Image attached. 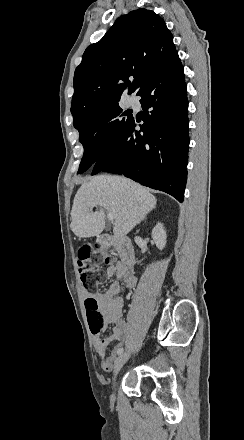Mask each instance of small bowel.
Instances as JSON below:
<instances>
[{
    "label": "small bowel",
    "mask_w": 244,
    "mask_h": 440,
    "mask_svg": "<svg viewBox=\"0 0 244 440\" xmlns=\"http://www.w3.org/2000/svg\"><path fill=\"white\" fill-rule=\"evenodd\" d=\"M105 275L109 278L113 276L117 278L107 290L89 294L83 288L81 293L85 300L94 299L97 302L98 308L104 316L105 326L112 325L111 334L105 338H100L98 334L93 333L94 349L101 360L100 369L103 372H110L114 365L120 361L116 357V352L120 345H123V341L129 333V326L123 320L124 299L120 295L121 282L126 288L133 289L136 286V277L134 270L122 262L107 267ZM112 342H117V344L110 355L106 357L107 348Z\"/></svg>",
    "instance_id": "1"
}]
</instances>
